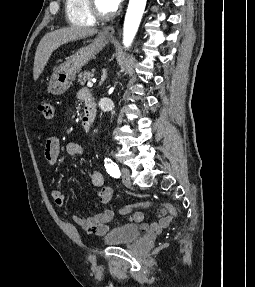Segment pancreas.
<instances>
[{"mask_svg":"<svg viewBox=\"0 0 255 287\" xmlns=\"http://www.w3.org/2000/svg\"><path fill=\"white\" fill-rule=\"evenodd\" d=\"M94 72L95 70H91V72H88V70H86V72H83V74H79L77 82H79L80 86H84L87 80H92Z\"/></svg>","mask_w":255,"mask_h":287,"instance_id":"obj_1","label":"pancreas"}]
</instances>
